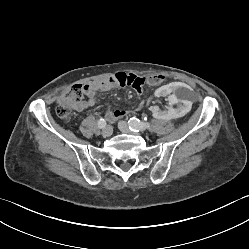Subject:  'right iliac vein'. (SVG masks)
Masks as SVG:
<instances>
[{"instance_id": "obj_1", "label": "right iliac vein", "mask_w": 249, "mask_h": 249, "mask_svg": "<svg viewBox=\"0 0 249 249\" xmlns=\"http://www.w3.org/2000/svg\"><path fill=\"white\" fill-rule=\"evenodd\" d=\"M112 133H113V128H112L110 125L106 126V127L102 130V135H103L104 137H109V136L112 135Z\"/></svg>"}]
</instances>
